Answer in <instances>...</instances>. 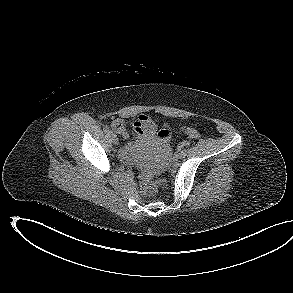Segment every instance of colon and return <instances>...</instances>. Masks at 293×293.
I'll return each instance as SVG.
<instances>
[{"label":"colon","mask_w":293,"mask_h":293,"mask_svg":"<svg viewBox=\"0 0 293 293\" xmlns=\"http://www.w3.org/2000/svg\"><path fill=\"white\" fill-rule=\"evenodd\" d=\"M184 131L190 138L193 139H198L201 136L200 133L194 128L187 127ZM158 137L161 141L168 142L172 137V131L170 129H162L158 132ZM164 184L165 181L162 179L153 180L148 175H145L140 182V190L146 196H153L157 193L159 187Z\"/></svg>","instance_id":"obj_1"}]
</instances>
